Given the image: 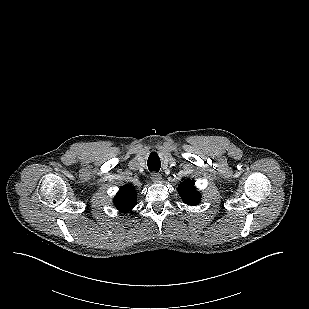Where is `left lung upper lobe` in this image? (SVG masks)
Instances as JSON below:
<instances>
[{
  "mask_svg": "<svg viewBox=\"0 0 309 309\" xmlns=\"http://www.w3.org/2000/svg\"><path fill=\"white\" fill-rule=\"evenodd\" d=\"M194 180H186L178 185V193L182 201L188 205H197L201 200V193L196 191Z\"/></svg>",
  "mask_w": 309,
  "mask_h": 309,
  "instance_id": "obj_1",
  "label": "left lung upper lobe"
}]
</instances>
